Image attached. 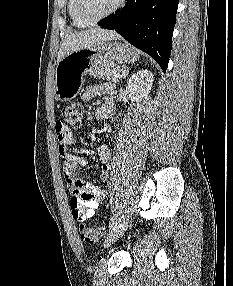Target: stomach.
I'll use <instances>...</instances> for the list:
<instances>
[{
  "label": "stomach",
  "instance_id": "stomach-1",
  "mask_svg": "<svg viewBox=\"0 0 233 286\" xmlns=\"http://www.w3.org/2000/svg\"><path fill=\"white\" fill-rule=\"evenodd\" d=\"M136 59L137 55L132 47L112 40L73 51L57 63L55 96L60 101L71 100L79 93L83 77L87 73L103 64L133 63Z\"/></svg>",
  "mask_w": 233,
  "mask_h": 286
}]
</instances>
